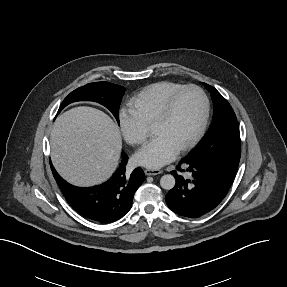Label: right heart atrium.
I'll use <instances>...</instances> for the list:
<instances>
[{
    "instance_id": "obj_1",
    "label": "right heart atrium",
    "mask_w": 287,
    "mask_h": 287,
    "mask_svg": "<svg viewBox=\"0 0 287 287\" xmlns=\"http://www.w3.org/2000/svg\"><path fill=\"white\" fill-rule=\"evenodd\" d=\"M119 126L125 140L131 145H141L149 135V127L131 108H122L119 112Z\"/></svg>"
}]
</instances>
